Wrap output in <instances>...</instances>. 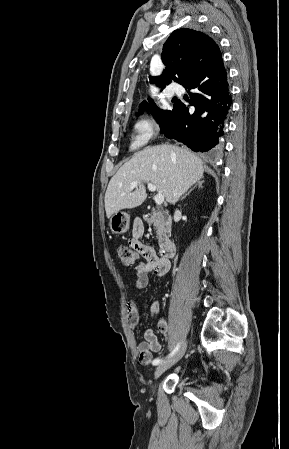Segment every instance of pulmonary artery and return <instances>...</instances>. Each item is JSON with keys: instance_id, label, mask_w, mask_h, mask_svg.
Here are the masks:
<instances>
[{"instance_id": "pulmonary-artery-1", "label": "pulmonary artery", "mask_w": 289, "mask_h": 449, "mask_svg": "<svg viewBox=\"0 0 289 449\" xmlns=\"http://www.w3.org/2000/svg\"><path fill=\"white\" fill-rule=\"evenodd\" d=\"M175 92H176V89H173V88L168 89V90L166 91V96H167L168 98H171V97L174 95Z\"/></svg>"}]
</instances>
